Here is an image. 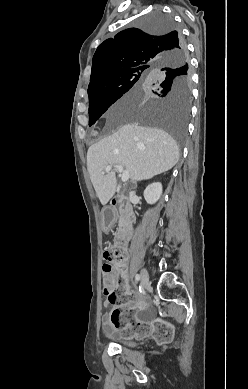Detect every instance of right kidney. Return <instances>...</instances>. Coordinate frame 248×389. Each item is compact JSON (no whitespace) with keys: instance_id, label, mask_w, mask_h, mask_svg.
<instances>
[{"instance_id":"ca27d5eb","label":"right kidney","mask_w":248,"mask_h":389,"mask_svg":"<svg viewBox=\"0 0 248 389\" xmlns=\"http://www.w3.org/2000/svg\"><path fill=\"white\" fill-rule=\"evenodd\" d=\"M162 194V184L159 182L150 184L144 191V198L148 204L156 203Z\"/></svg>"}]
</instances>
